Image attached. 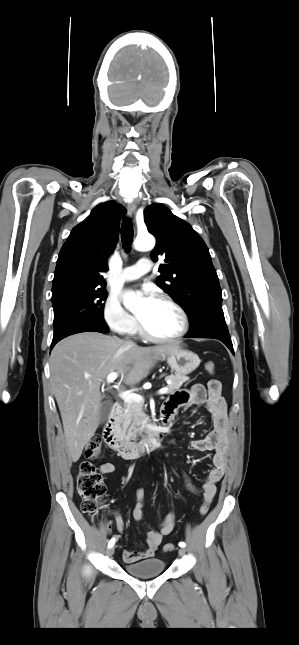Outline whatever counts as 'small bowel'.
Returning a JSON list of instances; mask_svg holds the SVG:
<instances>
[{
	"label": "small bowel",
	"mask_w": 299,
	"mask_h": 645,
	"mask_svg": "<svg viewBox=\"0 0 299 645\" xmlns=\"http://www.w3.org/2000/svg\"><path fill=\"white\" fill-rule=\"evenodd\" d=\"M192 405H205L213 421V429L202 439L191 442V448L197 451L214 450L212 459L213 467L208 471L205 482L201 487L195 486L185 476V486L191 493H202L206 503H210L217 491V484L223 478L229 451V430L227 423V406L221 394V387L217 390L206 389L202 384H195L188 390H180L174 393L162 408V419L171 420L177 410L181 407ZM115 467L112 463H103L99 471L102 474L112 473ZM137 503L132 509V517L136 521L143 518V506L145 492L138 489L136 492ZM116 528L119 532L124 531V522L118 513H114ZM175 527V514H167L160 524L158 531L149 530L146 535V549L141 552L124 550L122 557L127 564L136 563L142 560L153 558L163 539L168 536ZM115 539V538H114Z\"/></svg>",
	"instance_id": "small-bowel-1"
}]
</instances>
